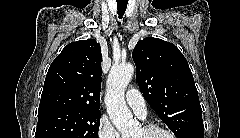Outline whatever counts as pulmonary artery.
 Here are the masks:
<instances>
[{
	"mask_svg": "<svg viewBox=\"0 0 240 138\" xmlns=\"http://www.w3.org/2000/svg\"><path fill=\"white\" fill-rule=\"evenodd\" d=\"M128 106L141 118L147 115L146 102L137 89H130L125 96Z\"/></svg>",
	"mask_w": 240,
	"mask_h": 138,
	"instance_id": "obj_1",
	"label": "pulmonary artery"
}]
</instances>
